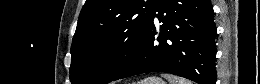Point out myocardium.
<instances>
[{
  "instance_id": "obj_1",
  "label": "myocardium",
  "mask_w": 260,
  "mask_h": 84,
  "mask_svg": "<svg viewBox=\"0 0 260 84\" xmlns=\"http://www.w3.org/2000/svg\"><path fill=\"white\" fill-rule=\"evenodd\" d=\"M101 64H102V65L105 64V61H102Z\"/></svg>"
}]
</instances>
